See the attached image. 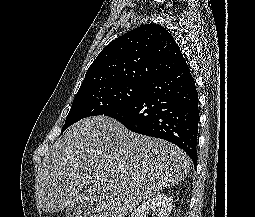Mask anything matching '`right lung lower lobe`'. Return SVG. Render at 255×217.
I'll use <instances>...</instances> for the list:
<instances>
[{"label": "right lung lower lobe", "instance_id": "obj_1", "mask_svg": "<svg viewBox=\"0 0 255 217\" xmlns=\"http://www.w3.org/2000/svg\"><path fill=\"white\" fill-rule=\"evenodd\" d=\"M104 115L133 132L178 145L196 166L198 93L188 64L158 77L132 103Z\"/></svg>", "mask_w": 255, "mask_h": 217}]
</instances>
